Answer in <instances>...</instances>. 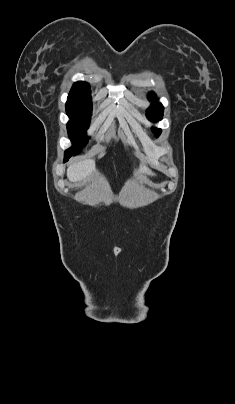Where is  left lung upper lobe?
<instances>
[{"instance_id":"5c2ea615","label":"left lung upper lobe","mask_w":235,"mask_h":404,"mask_svg":"<svg viewBox=\"0 0 235 404\" xmlns=\"http://www.w3.org/2000/svg\"><path fill=\"white\" fill-rule=\"evenodd\" d=\"M148 98L150 101H152L155 98V94L153 92H151L148 95ZM163 106L161 103H156V99L154 101H152V106L150 108L147 109V118L152 121V122H158L162 119L163 117ZM153 132L155 133L156 137H159V135L161 134V129L152 128Z\"/></svg>"}]
</instances>
